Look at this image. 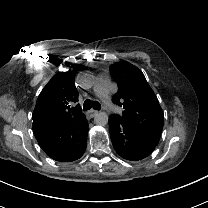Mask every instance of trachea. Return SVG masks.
I'll return each instance as SVG.
<instances>
[{"mask_svg": "<svg viewBox=\"0 0 208 208\" xmlns=\"http://www.w3.org/2000/svg\"><path fill=\"white\" fill-rule=\"evenodd\" d=\"M91 108H94L95 110H100L101 109V105L97 101H91L89 99L85 100V102L83 104L84 111L90 110Z\"/></svg>", "mask_w": 208, "mask_h": 208, "instance_id": "trachea-1", "label": "trachea"}]
</instances>
